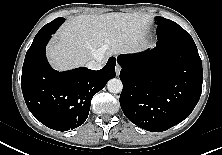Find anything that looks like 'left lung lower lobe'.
<instances>
[{"mask_svg":"<svg viewBox=\"0 0 222 155\" xmlns=\"http://www.w3.org/2000/svg\"><path fill=\"white\" fill-rule=\"evenodd\" d=\"M120 105L135 125L151 132L182 122L199 101L203 71L193 39L158 40L156 47L120 55Z\"/></svg>","mask_w":222,"mask_h":155,"instance_id":"left-lung-lower-lobe-1","label":"left lung lower lobe"}]
</instances>
